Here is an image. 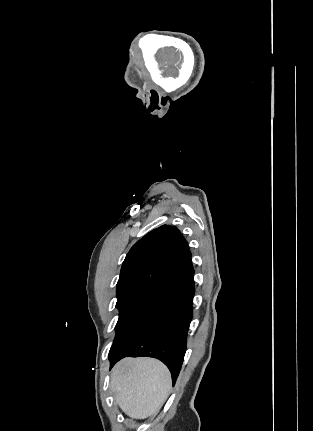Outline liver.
Segmentation results:
<instances>
[{"mask_svg": "<svg viewBox=\"0 0 313 431\" xmlns=\"http://www.w3.org/2000/svg\"><path fill=\"white\" fill-rule=\"evenodd\" d=\"M110 386L121 410L145 419L160 410L171 389L168 368L153 358H125L111 373Z\"/></svg>", "mask_w": 313, "mask_h": 431, "instance_id": "1", "label": "liver"}]
</instances>
